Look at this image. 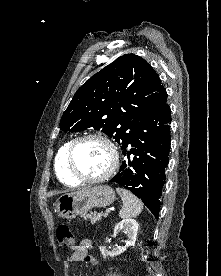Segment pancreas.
I'll return each instance as SVG.
<instances>
[{"mask_svg": "<svg viewBox=\"0 0 221 276\" xmlns=\"http://www.w3.org/2000/svg\"><path fill=\"white\" fill-rule=\"evenodd\" d=\"M82 217L87 220L89 219L91 221L92 224H95L96 222L100 221L102 219V217H107V214H103V213H89V214H83Z\"/></svg>", "mask_w": 221, "mask_h": 276, "instance_id": "cf45deb5", "label": "pancreas"}]
</instances>
